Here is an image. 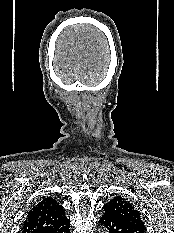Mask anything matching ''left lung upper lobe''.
<instances>
[{
  "instance_id": "5c2ea615",
  "label": "left lung upper lobe",
  "mask_w": 174,
  "mask_h": 233,
  "mask_svg": "<svg viewBox=\"0 0 174 233\" xmlns=\"http://www.w3.org/2000/svg\"><path fill=\"white\" fill-rule=\"evenodd\" d=\"M104 211L109 213L110 215L120 218L129 220L141 225H144L140 212L134 207V205L121 196H115L112 200L109 201L103 207Z\"/></svg>"
}]
</instances>
